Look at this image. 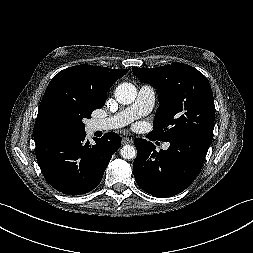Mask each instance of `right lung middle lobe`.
Wrapping results in <instances>:
<instances>
[{"mask_svg":"<svg viewBox=\"0 0 253 253\" xmlns=\"http://www.w3.org/2000/svg\"><path fill=\"white\" fill-rule=\"evenodd\" d=\"M105 100L87 93L52 91L40 103L35 123L37 132L43 136L51 133H83V119L102 108Z\"/></svg>","mask_w":253,"mask_h":253,"instance_id":"1","label":"right lung middle lobe"}]
</instances>
